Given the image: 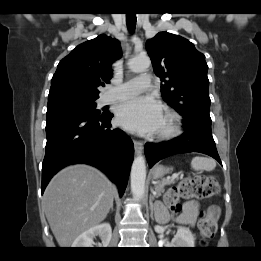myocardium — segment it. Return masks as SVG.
Returning <instances> with one entry per match:
<instances>
[{
    "instance_id": "obj_1",
    "label": "myocardium",
    "mask_w": 261,
    "mask_h": 261,
    "mask_svg": "<svg viewBox=\"0 0 261 261\" xmlns=\"http://www.w3.org/2000/svg\"><path fill=\"white\" fill-rule=\"evenodd\" d=\"M167 125L160 130L159 137L162 139H172L177 137L181 132L182 121L179 114L173 111H167L165 114Z\"/></svg>"
}]
</instances>
